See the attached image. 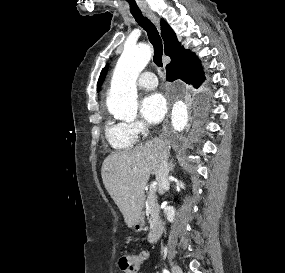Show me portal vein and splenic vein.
Returning <instances> with one entry per match:
<instances>
[{
	"label": "portal vein and splenic vein",
	"instance_id": "obj_1",
	"mask_svg": "<svg viewBox=\"0 0 285 273\" xmlns=\"http://www.w3.org/2000/svg\"><path fill=\"white\" fill-rule=\"evenodd\" d=\"M150 190H156V183H153L151 186H150Z\"/></svg>",
	"mask_w": 285,
	"mask_h": 273
}]
</instances>
